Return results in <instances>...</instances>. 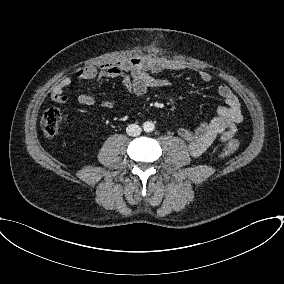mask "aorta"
Here are the masks:
<instances>
[{
  "instance_id": "762f6f07",
  "label": "aorta",
  "mask_w": 284,
  "mask_h": 284,
  "mask_svg": "<svg viewBox=\"0 0 284 284\" xmlns=\"http://www.w3.org/2000/svg\"><path fill=\"white\" fill-rule=\"evenodd\" d=\"M144 131L152 132L155 129V125L151 121H147L143 124Z\"/></svg>"
}]
</instances>
